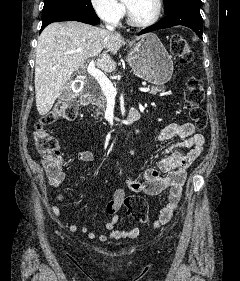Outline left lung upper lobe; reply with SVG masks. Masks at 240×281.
<instances>
[{"instance_id":"1","label":"left lung upper lobe","mask_w":240,"mask_h":281,"mask_svg":"<svg viewBox=\"0 0 240 281\" xmlns=\"http://www.w3.org/2000/svg\"><path fill=\"white\" fill-rule=\"evenodd\" d=\"M183 3H195L201 5V0H164L165 13H168L170 10Z\"/></svg>"}]
</instances>
